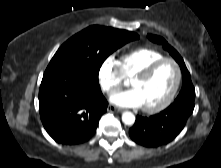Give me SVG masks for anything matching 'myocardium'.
<instances>
[{"mask_svg": "<svg viewBox=\"0 0 221 168\" xmlns=\"http://www.w3.org/2000/svg\"><path fill=\"white\" fill-rule=\"evenodd\" d=\"M167 62L172 63L175 66L176 74H177L176 75L175 84H174L170 94L168 95V97L163 102H161L158 105L152 106V107H144L143 106V110L145 112H147V113H157V112H160V111L166 109L168 106H170L171 103L174 101V99H175V97H176V95H177V93L179 91L181 82H182V70H181V67H180L179 63L175 59L169 58V57H165V58L159 59V60L151 63L150 65H148L146 68H144L142 71H140L138 74H136L132 78V82L146 80L148 77H150V75L159 66H161L162 64L167 63Z\"/></svg>", "mask_w": 221, "mask_h": 168, "instance_id": "obj_1", "label": "myocardium"}]
</instances>
